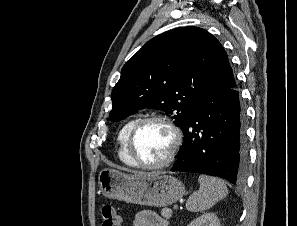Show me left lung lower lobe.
<instances>
[{
    "instance_id": "obj_1",
    "label": "left lung lower lobe",
    "mask_w": 297,
    "mask_h": 226,
    "mask_svg": "<svg viewBox=\"0 0 297 226\" xmlns=\"http://www.w3.org/2000/svg\"><path fill=\"white\" fill-rule=\"evenodd\" d=\"M184 142L171 171L218 176L234 185L245 180V113L236 87L208 91L183 127Z\"/></svg>"
}]
</instances>
